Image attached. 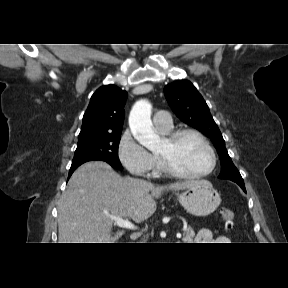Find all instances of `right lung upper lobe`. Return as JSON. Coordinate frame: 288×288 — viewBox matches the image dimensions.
Segmentation results:
<instances>
[{"mask_svg":"<svg viewBox=\"0 0 288 288\" xmlns=\"http://www.w3.org/2000/svg\"><path fill=\"white\" fill-rule=\"evenodd\" d=\"M126 98L127 92L113 84L97 89L83 116L78 141L121 132Z\"/></svg>","mask_w":288,"mask_h":288,"instance_id":"obj_1","label":"right lung upper lobe"}]
</instances>
